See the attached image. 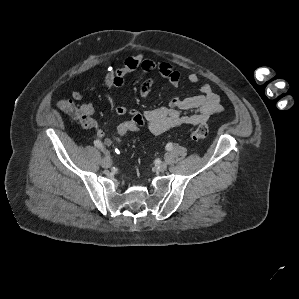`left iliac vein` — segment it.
Here are the masks:
<instances>
[{
    "label": "left iliac vein",
    "mask_w": 299,
    "mask_h": 299,
    "mask_svg": "<svg viewBox=\"0 0 299 299\" xmlns=\"http://www.w3.org/2000/svg\"><path fill=\"white\" fill-rule=\"evenodd\" d=\"M158 168H159V170H161V171H165V170L167 169V164H166L165 162H160V163L158 164Z\"/></svg>",
    "instance_id": "obj_1"
}]
</instances>
